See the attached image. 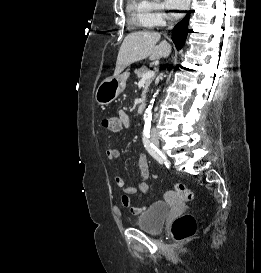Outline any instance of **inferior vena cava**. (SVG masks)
<instances>
[{
    "label": "inferior vena cava",
    "instance_id": "1",
    "mask_svg": "<svg viewBox=\"0 0 261 273\" xmlns=\"http://www.w3.org/2000/svg\"><path fill=\"white\" fill-rule=\"evenodd\" d=\"M172 28H173V26H170L168 29H172ZM151 135H152V137H156V138L158 137V132L155 128H152Z\"/></svg>",
    "mask_w": 261,
    "mask_h": 273
}]
</instances>
